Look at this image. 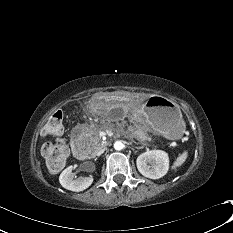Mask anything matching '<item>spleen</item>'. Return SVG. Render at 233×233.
I'll return each instance as SVG.
<instances>
[{"mask_svg":"<svg viewBox=\"0 0 233 233\" xmlns=\"http://www.w3.org/2000/svg\"><path fill=\"white\" fill-rule=\"evenodd\" d=\"M187 157H188L187 151H184L182 154H180L174 161L172 165V169H176L177 167H180L186 161Z\"/></svg>","mask_w":233,"mask_h":233,"instance_id":"1","label":"spleen"}]
</instances>
